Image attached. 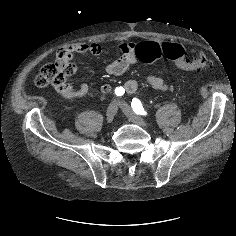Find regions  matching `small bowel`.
Masks as SVG:
<instances>
[{
  "label": "small bowel",
  "mask_w": 236,
  "mask_h": 236,
  "mask_svg": "<svg viewBox=\"0 0 236 236\" xmlns=\"http://www.w3.org/2000/svg\"><path fill=\"white\" fill-rule=\"evenodd\" d=\"M142 43L155 44L158 46L161 45V43L155 41H145ZM140 44L122 43L119 46L122 52V56L117 60L107 64L104 67V72L106 74L115 76L124 74L131 66H133L137 62L135 51ZM63 50L66 51L68 54H70L72 63L69 68V73L65 77L64 81L61 82L60 84L55 85V92L58 96L66 99L85 96L89 91V86L87 83L81 82L77 86H74L67 82V78L71 76L73 73H75L78 68L77 63L73 60V56L76 54L78 55L90 54L93 56H100L102 53L101 46L95 42L93 43L78 42L63 48ZM147 82L152 88L156 90L172 91L174 89L172 85L166 83L162 78L154 74H149L147 76ZM123 88L127 94H132L137 90L138 82L136 80H128L124 84ZM110 91H111V86L109 84L105 83L100 86V92L103 95L109 94Z\"/></svg>",
  "instance_id": "1"
}]
</instances>
